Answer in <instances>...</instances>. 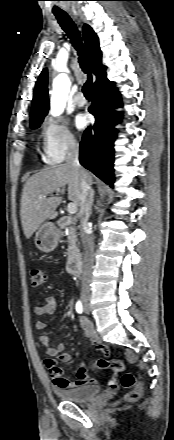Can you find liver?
Segmentation results:
<instances>
[{
  "mask_svg": "<svg viewBox=\"0 0 174 440\" xmlns=\"http://www.w3.org/2000/svg\"><path fill=\"white\" fill-rule=\"evenodd\" d=\"M87 177L89 183L92 184V175L89 172H87ZM65 186H68V199L80 207V178L78 172L71 165L63 164L44 169L26 181L21 196L20 216L23 232L27 239L46 220L57 217L56 209L61 203L62 197L47 196L57 190L64 194ZM41 195L45 198L40 199Z\"/></svg>",
  "mask_w": 174,
  "mask_h": 440,
  "instance_id": "obj_1",
  "label": "liver"
}]
</instances>
